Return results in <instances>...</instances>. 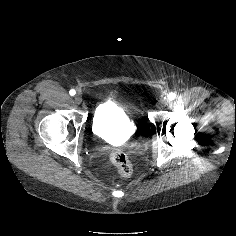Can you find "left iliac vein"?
Here are the masks:
<instances>
[{
    "instance_id": "4c4485c4",
    "label": "left iliac vein",
    "mask_w": 236,
    "mask_h": 236,
    "mask_svg": "<svg viewBox=\"0 0 236 236\" xmlns=\"http://www.w3.org/2000/svg\"><path fill=\"white\" fill-rule=\"evenodd\" d=\"M169 104V100L167 98H162L158 102L159 107H165Z\"/></svg>"
}]
</instances>
